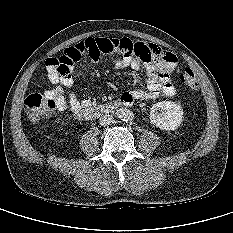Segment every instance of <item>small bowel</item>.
<instances>
[{
	"mask_svg": "<svg viewBox=\"0 0 233 233\" xmlns=\"http://www.w3.org/2000/svg\"><path fill=\"white\" fill-rule=\"evenodd\" d=\"M127 41L131 45L132 52L128 54L118 53V57L114 61V68L124 69L131 67L138 70L140 63H142L147 70V82L143 89L125 91L121 95V99L134 101L153 100L161 96L166 98L174 97L176 89L171 82L170 74L177 66V57L169 51L162 50L155 44L143 41ZM51 60L52 58L46 62L47 75L50 83L56 85V87L47 92L54 95L58 110L69 111L75 117L85 119L83 112L91 106L92 99L90 97L79 99L72 91L68 92V97L66 98L64 90L72 88L73 77L71 72L64 75L60 74L52 65Z\"/></svg>",
	"mask_w": 233,
	"mask_h": 233,
	"instance_id": "small-bowel-1",
	"label": "small bowel"
}]
</instances>
